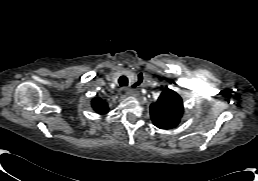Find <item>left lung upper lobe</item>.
I'll return each instance as SVG.
<instances>
[{
    "mask_svg": "<svg viewBox=\"0 0 258 181\" xmlns=\"http://www.w3.org/2000/svg\"><path fill=\"white\" fill-rule=\"evenodd\" d=\"M181 97L173 90H164L157 102L151 104L150 115L155 126L171 129L178 125L183 115Z\"/></svg>",
    "mask_w": 258,
    "mask_h": 181,
    "instance_id": "1",
    "label": "left lung upper lobe"
}]
</instances>
